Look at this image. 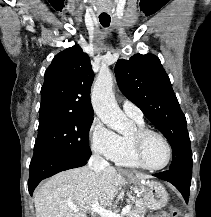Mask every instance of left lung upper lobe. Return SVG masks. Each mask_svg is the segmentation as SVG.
Masks as SVG:
<instances>
[{
  "label": "left lung upper lobe",
  "mask_w": 211,
  "mask_h": 217,
  "mask_svg": "<svg viewBox=\"0 0 211 217\" xmlns=\"http://www.w3.org/2000/svg\"><path fill=\"white\" fill-rule=\"evenodd\" d=\"M115 75L122 93L169 141L173 151L169 169L192 171L186 118L158 57L135 54L130 60L120 59L115 65Z\"/></svg>",
  "instance_id": "5c2ea615"
}]
</instances>
